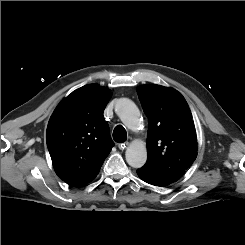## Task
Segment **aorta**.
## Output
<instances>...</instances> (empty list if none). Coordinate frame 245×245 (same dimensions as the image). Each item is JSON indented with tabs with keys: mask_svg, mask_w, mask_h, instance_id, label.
Listing matches in <instances>:
<instances>
[{
	"mask_svg": "<svg viewBox=\"0 0 245 245\" xmlns=\"http://www.w3.org/2000/svg\"><path fill=\"white\" fill-rule=\"evenodd\" d=\"M116 113L123 124L132 131L141 127V115L136 104L128 98H121L115 105ZM126 161L133 168L142 167L147 159L146 146L142 142H133L126 149Z\"/></svg>",
	"mask_w": 245,
	"mask_h": 245,
	"instance_id": "obj_1",
	"label": "aorta"
}]
</instances>
